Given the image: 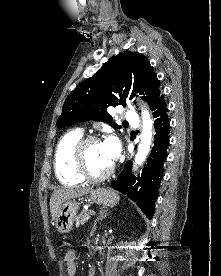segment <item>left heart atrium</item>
<instances>
[{
  "label": "left heart atrium",
  "mask_w": 221,
  "mask_h": 276,
  "mask_svg": "<svg viewBox=\"0 0 221 276\" xmlns=\"http://www.w3.org/2000/svg\"><path fill=\"white\" fill-rule=\"evenodd\" d=\"M102 145L107 157L113 162L120 151L118 140L115 137H109L102 143Z\"/></svg>",
  "instance_id": "obj_1"
}]
</instances>
